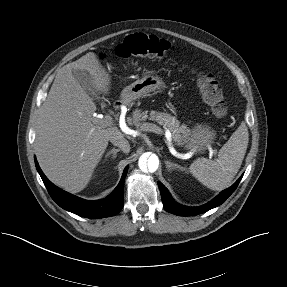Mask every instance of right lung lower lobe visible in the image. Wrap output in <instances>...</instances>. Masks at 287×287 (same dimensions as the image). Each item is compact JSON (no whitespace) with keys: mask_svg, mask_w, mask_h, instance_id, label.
I'll return each mask as SVG.
<instances>
[{"mask_svg":"<svg viewBox=\"0 0 287 287\" xmlns=\"http://www.w3.org/2000/svg\"><path fill=\"white\" fill-rule=\"evenodd\" d=\"M35 165L51 198L63 209L86 218H104L116 215L123 208V187L128 167L125 168L122 178L115 190L105 199L88 201L73 196L52 184L43 174L37 160Z\"/></svg>","mask_w":287,"mask_h":287,"instance_id":"right-lung-lower-lobe-1","label":"right lung lower lobe"}]
</instances>
